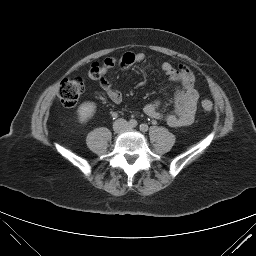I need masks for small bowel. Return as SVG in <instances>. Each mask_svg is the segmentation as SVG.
<instances>
[{
  "mask_svg": "<svg viewBox=\"0 0 256 256\" xmlns=\"http://www.w3.org/2000/svg\"><path fill=\"white\" fill-rule=\"evenodd\" d=\"M144 59L145 54L141 52H126L120 57L105 59L100 85L112 102L119 104L122 101V94L116 90L104 76L115 66L126 70L142 62ZM161 68L170 81L180 85V89L175 93L174 111L172 113H163L159 110L160 102L153 101L145 105L144 113L154 120L164 121L171 127L191 125L195 119L199 99V93L194 85L193 74L188 68L184 66L177 68L169 62H164Z\"/></svg>",
  "mask_w": 256,
  "mask_h": 256,
  "instance_id": "obj_1",
  "label": "small bowel"
}]
</instances>
